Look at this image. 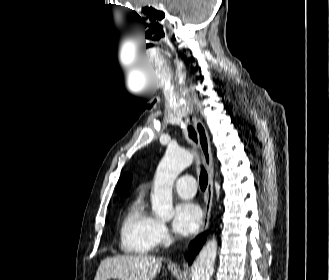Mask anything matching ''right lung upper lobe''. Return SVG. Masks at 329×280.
<instances>
[{"mask_svg":"<svg viewBox=\"0 0 329 280\" xmlns=\"http://www.w3.org/2000/svg\"><path fill=\"white\" fill-rule=\"evenodd\" d=\"M132 180V176L130 173H125L123 174L117 184V193H119L120 195L123 194V192L129 188L130 183Z\"/></svg>","mask_w":329,"mask_h":280,"instance_id":"cb5924a9","label":"right lung upper lobe"}]
</instances>
